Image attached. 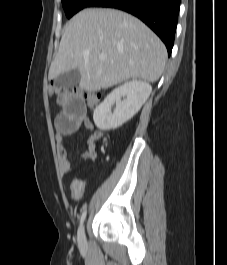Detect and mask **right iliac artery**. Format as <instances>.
Returning <instances> with one entry per match:
<instances>
[{"label": "right iliac artery", "instance_id": "right-iliac-artery-1", "mask_svg": "<svg viewBox=\"0 0 227 265\" xmlns=\"http://www.w3.org/2000/svg\"><path fill=\"white\" fill-rule=\"evenodd\" d=\"M86 213H87V211H86V209L83 211V213H82V215H81V218H80V224H82L83 222H84V220H85V218H86Z\"/></svg>", "mask_w": 227, "mask_h": 265}]
</instances>
